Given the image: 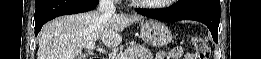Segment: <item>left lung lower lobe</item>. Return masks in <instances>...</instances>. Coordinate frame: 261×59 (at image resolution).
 <instances>
[{
	"label": "left lung lower lobe",
	"instance_id": "left-lung-lower-lobe-1",
	"mask_svg": "<svg viewBox=\"0 0 261 59\" xmlns=\"http://www.w3.org/2000/svg\"><path fill=\"white\" fill-rule=\"evenodd\" d=\"M137 13L162 21L196 20L204 23L211 31L213 40L218 41L220 22L219 0H179L167 10L136 9Z\"/></svg>",
	"mask_w": 261,
	"mask_h": 59
}]
</instances>
